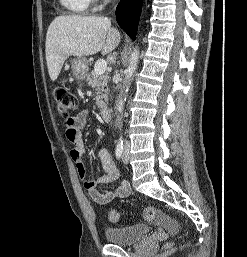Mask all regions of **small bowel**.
Returning <instances> with one entry per match:
<instances>
[{"mask_svg":"<svg viewBox=\"0 0 247 257\" xmlns=\"http://www.w3.org/2000/svg\"><path fill=\"white\" fill-rule=\"evenodd\" d=\"M88 112L82 111L72 117L70 123H65V134L67 139L72 143L73 148L70 150V156L76 165L77 173L82 180L84 188L89 192L95 202L100 205H108L115 198H125L130 195V185L123 181L112 190H104L102 186L115 181L119 172L113 160L112 153L107 148H102L98 152V156L102 163L104 174L96 179L87 176L86 167L82 156L85 153V147L81 135V130L87 123ZM155 212V220L162 224L170 232L177 229L176 223L162 212Z\"/></svg>","mask_w":247,"mask_h":257,"instance_id":"c3829d8e","label":"small bowel"}]
</instances>
